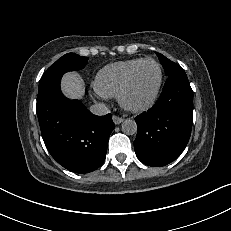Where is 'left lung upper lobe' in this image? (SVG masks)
<instances>
[{"mask_svg":"<svg viewBox=\"0 0 231 231\" xmlns=\"http://www.w3.org/2000/svg\"><path fill=\"white\" fill-rule=\"evenodd\" d=\"M157 56L164 68L165 74L166 76L170 75L172 72L183 69L180 65L172 62L171 60H169L168 58H166L165 56H163L160 53H157Z\"/></svg>","mask_w":231,"mask_h":231,"instance_id":"obj_1","label":"left lung upper lobe"}]
</instances>
